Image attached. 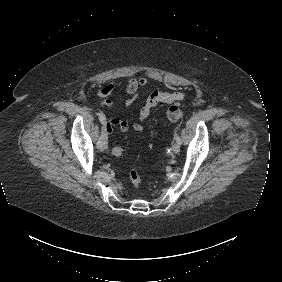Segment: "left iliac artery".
Returning a JSON list of instances; mask_svg holds the SVG:
<instances>
[{"label": "left iliac artery", "instance_id": "left-iliac-artery-1", "mask_svg": "<svg viewBox=\"0 0 282 282\" xmlns=\"http://www.w3.org/2000/svg\"><path fill=\"white\" fill-rule=\"evenodd\" d=\"M174 139L179 143V144H181V140H180V137L178 136V134H177V131L176 130H174Z\"/></svg>", "mask_w": 282, "mask_h": 282}]
</instances>
